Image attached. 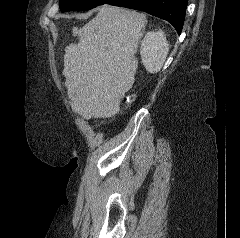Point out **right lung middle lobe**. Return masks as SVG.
<instances>
[{
    "label": "right lung middle lobe",
    "instance_id": "right-lung-middle-lobe-1",
    "mask_svg": "<svg viewBox=\"0 0 240 238\" xmlns=\"http://www.w3.org/2000/svg\"><path fill=\"white\" fill-rule=\"evenodd\" d=\"M112 1L113 0H60V10L62 12L89 10Z\"/></svg>",
    "mask_w": 240,
    "mask_h": 238
}]
</instances>
